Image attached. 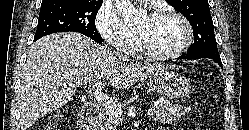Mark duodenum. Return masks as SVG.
Masks as SVG:
<instances>
[{
	"instance_id": "obj_1",
	"label": "duodenum",
	"mask_w": 249,
	"mask_h": 130,
	"mask_svg": "<svg viewBox=\"0 0 249 130\" xmlns=\"http://www.w3.org/2000/svg\"><path fill=\"white\" fill-rule=\"evenodd\" d=\"M99 114V106L94 102H87L80 114L78 130H96Z\"/></svg>"
}]
</instances>
